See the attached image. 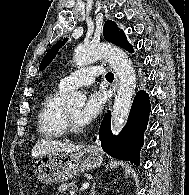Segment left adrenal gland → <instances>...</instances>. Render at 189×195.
Instances as JSON below:
<instances>
[{
	"label": "left adrenal gland",
	"instance_id": "left-adrenal-gland-1",
	"mask_svg": "<svg viewBox=\"0 0 189 195\" xmlns=\"http://www.w3.org/2000/svg\"><path fill=\"white\" fill-rule=\"evenodd\" d=\"M95 185L96 182L93 183L92 187H91V191H90V195H95L96 191H95Z\"/></svg>",
	"mask_w": 189,
	"mask_h": 195
}]
</instances>
